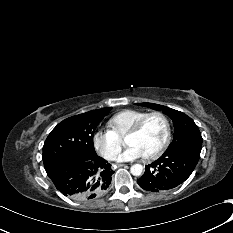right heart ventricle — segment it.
<instances>
[{"label":"right heart ventricle","instance_id":"right-heart-ventricle-1","mask_svg":"<svg viewBox=\"0 0 233 233\" xmlns=\"http://www.w3.org/2000/svg\"><path fill=\"white\" fill-rule=\"evenodd\" d=\"M146 113V111L138 109H125L113 115L108 125L118 138H122L128 129Z\"/></svg>","mask_w":233,"mask_h":233}]
</instances>
